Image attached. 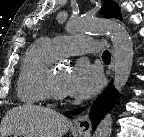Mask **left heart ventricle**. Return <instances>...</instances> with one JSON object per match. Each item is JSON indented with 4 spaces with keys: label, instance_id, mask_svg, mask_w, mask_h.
<instances>
[{
    "label": "left heart ventricle",
    "instance_id": "obj_1",
    "mask_svg": "<svg viewBox=\"0 0 144 137\" xmlns=\"http://www.w3.org/2000/svg\"><path fill=\"white\" fill-rule=\"evenodd\" d=\"M68 71L64 69L55 70V79L58 86L65 92V82L68 78Z\"/></svg>",
    "mask_w": 144,
    "mask_h": 137
}]
</instances>
